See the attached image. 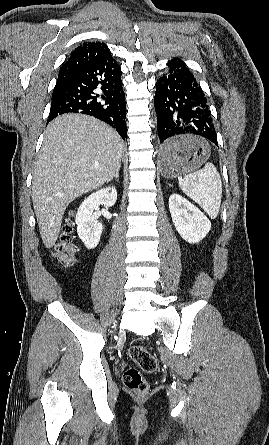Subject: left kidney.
Listing matches in <instances>:
<instances>
[{
  "mask_svg": "<svg viewBox=\"0 0 269 445\" xmlns=\"http://www.w3.org/2000/svg\"><path fill=\"white\" fill-rule=\"evenodd\" d=\"M169 210L176 230L189 243L200 242L211 229L209 219L179 194L170 195Z\"/></svg>",
  "mask_w": 269,
  "mask_h": 445,
  "instance_id": "5707ae66",
  "label": "left kidney"
}]
</instances>
